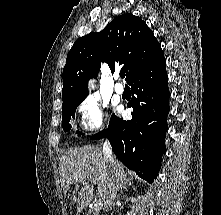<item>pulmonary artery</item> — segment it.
I'll return each instance as SVG.
<instances>
[{
    "label": "pulmonary artery",
    "instance_id": "pulmonary-artery-1",
    "mask_svg": "<svg viewBox=\"0 0 221 215\" xmlns=\"http://www.w3.org/2000/svg\"><path fill=\"white\" fill-rule=\"evenodd\" d=\"M117 79H118V75H117V77H116ZM115 91H116V93H118V94H122L123 92H124V86H123V84L122 83H120V82H117L116 84H115Z\"/></svg>",
    "mask_w": 221,
    "mask_h": 215
}]
</instances>
